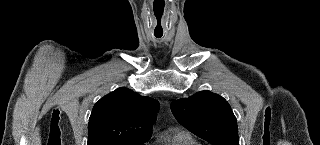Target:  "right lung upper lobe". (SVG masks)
I'll return each mask as SVG.
<instances>
[{
	"mask_svg": "<svg viewBox=\"0 0 320 145\" xmlns=\"http://www.w3.org/2000/svg\"><path fill=\"white\" fill-rule=\"evenodd\" d=\"M159 103L121 87L101 98L93 107L88 145L145 143L151 137Z\"/></svg>",
	"mask_w": 320,
	"mask_h": 145,
	"instance_id": "cb5924a9",
	"label": "right lung upper lobe"
}]
</instances>
